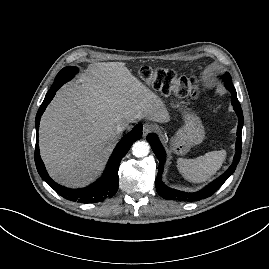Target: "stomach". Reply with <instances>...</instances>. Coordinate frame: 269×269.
<instances>
[{
  "label": "stomach",
  "mask_w": 269,
  "mask_h": 269,
  "mask_svg": "<svg viewBox=\"0 0 269 269\" xmlns=\"http://www.w3.org/2000/svg\"><path fill=\"white\" fill-rule=\"evenodd\" d=\"M205 138V130L200 119L191 113L185 114V124L170 139V149L178 155H185Z\"/></svg>",
  "instance_id": "0dacf381"
}]
</instances>
